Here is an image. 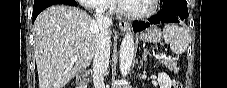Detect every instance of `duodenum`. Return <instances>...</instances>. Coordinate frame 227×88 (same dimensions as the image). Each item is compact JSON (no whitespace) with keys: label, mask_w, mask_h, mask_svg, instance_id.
Segmentation results:
<instances>
[{"label":"duodenum","mask_w":227,"mask_h":88,"mask_svg":"<svg viewBox=\"0 0 227 88\" xmlns=\"http://www.w3.org/2000/svg\"><path fill=\"white\" fill-rule=\"evenodd\" d=\"M79 88H86L87 87V74L84 73L82 74L78 79H77Z\"/></svg>","instance_id":"410a0bca"}]
</instances>
